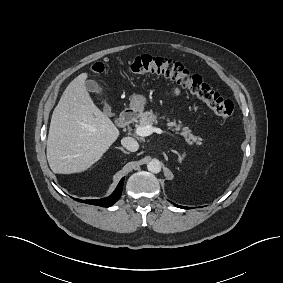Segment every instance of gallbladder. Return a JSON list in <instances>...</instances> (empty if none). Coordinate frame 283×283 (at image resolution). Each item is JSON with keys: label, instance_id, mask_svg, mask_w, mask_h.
I'll use <instances>...</instances> for the list:
<instances>
[{"label": "gallbladder", "instance_id": "gallbladder-1", "mask_svg": "<svg viewBox=\"0 0 283 283\" xmlns=\"http://www.w3.org/2000/svg\"><path fill=\"white\" fill-rule=\"evenodd\" d=\"M85 86H86L87 90L90 91V92H93V93H96V94H102L103 89H102L101 85L95 80H87L85 82ZM104 113L107 114V115H110V116L112 115L111 109L107 104H105V106H104Z\"/></svg>", "mask_w": 283, "mask_h": 283}]
</instances>
